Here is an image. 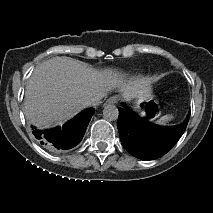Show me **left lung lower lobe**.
I'll return each mask as SVG.
<instances>
[{
	"label": "left lung lower lobe",
	"instance_id": "0a47b994",
	"mask_svg": "<svg viewBox=\"0 0 213 213\" xmlns=\"http://www.w3.org/2000/svg\"><path fill=\"white\" fill-rule=\"evenodd\" d=\"M118 108V130L122 145L133 156L153 160L166 154L184 133L189 121L174 127H160L130 111L126 105Z\"/></svg>",
	"mask_w": 213,
	"mask_h": 213
}]
</instances>
